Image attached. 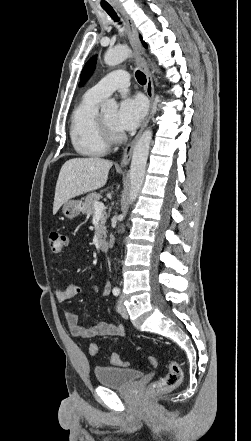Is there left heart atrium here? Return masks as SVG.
Returning <instances> with one entry per match:
<instances>
[{
  "label": "left heart atrium",
  "mask_w": 251,
  "mask_h": 441,
  "mask_svg": "<svg viewBox=\"0 0 251 441\" xmlns=\"http://www.w3.org/2000/svg\"><path fill=\"white\" fill-rule=\"evenodd\" d=\"M146 112V104L140 96L126 97L120 103L115 119V127L119 132L135 130Z\"/></svg>",
  "instance_id": "left-heart-atrium-1"
}]
</instances>
